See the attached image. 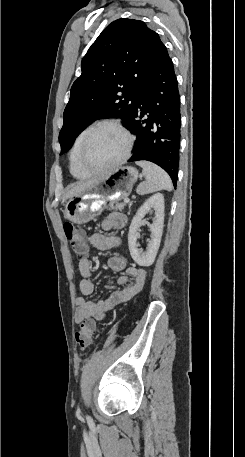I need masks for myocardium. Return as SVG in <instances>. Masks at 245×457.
Masks as SVG:
<instances>
[{
    "instance_id": "f54148a6",
    "label": "myocardium",
    "mask_w": 245,
    "mask_h": 457,
    "mask_svg": "<svg viewBox=\"0 0 245 457\" xmlns=\"http://www.w3.org/2000/svg\"><path fill=\"white\" fill-rule=\"evenodd\" d=\"M103 129H112V130L118 132L119 134H121L126 140L125 149L122 152V154L109 166H106V167H103L100 169H96V170H92V169L88 168L86 166V164L84 163L83 154H84V151L87 148L90 140L92 139V137L97 132H99ZM133 144H134L133 136L121 124L116 123V122H109V121L98 123V124L94 125L87 132V134L85 135V137L83 139V142L77 152L78 165L83 170V172L86 173L88 176H94V175H98V174L106 172V171L113 170L116 167H118L121 163H123L130 156L131 150L133 148Z\"/></svg>"
}]
</instances>
